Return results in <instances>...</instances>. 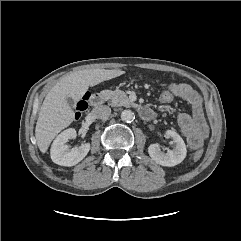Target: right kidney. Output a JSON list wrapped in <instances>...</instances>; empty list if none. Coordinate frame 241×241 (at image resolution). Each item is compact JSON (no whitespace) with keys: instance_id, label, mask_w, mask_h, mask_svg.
Listing matches in <instances>:
<instances>
[{"instance_id":"ca27d5eb","label":"right kidney","mask_w":241,"mask_h":241,"mask_svg":"<svg viewBox=\"0 0 241 241\" xmlns=\"http://www.w3.org/2000/svg\"><path fill=\"white\" fill-rule=\"evenodd\" d=\"M76 137V130L69 128L59 134L51 146V159L61 166H74L85 158L90 150V144L85 143L79 147L69 149L66 144L69 139Z\"/></svg>"}]
</instances>
